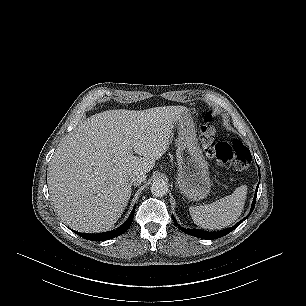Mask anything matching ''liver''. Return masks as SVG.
<instances>
[{"label":"liver","mask_w":306,"mask_h":306,"mask_svg":"<svg viewBox=\"0 0 306 306\" xmlns=\"http://www.w3.org/2000/svg\"><path fill=\"white\" fill-rule=\"evenodd\" d=\"M187 112L184 106L107 110L80 122L58 144L48 172L62 221L79 232L110 230L130 199L129 175L152 170Z\"/></svg>","instance_id":"obj_1"}]
</instances>
